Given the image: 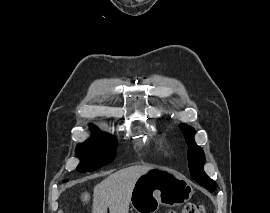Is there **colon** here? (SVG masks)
<instances>
[{"mask_svg":"<svg viewBox=\"0 0 270 213\" xmlns=\"http://www.w3.org/2000/svg\"><path fill=\"white\" fill-rule=\"evenodd\" d=\"M168 213H177V212L169 211ZM181 213H206V211L202 205L195 203H188L185 205Z\"/></svg>","mask_w":270,"mask_h":213,"instance_id":"1","label":"colon"}]
</instances>
